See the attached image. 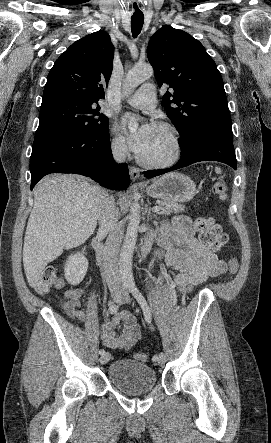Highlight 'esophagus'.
I'll return each mask as SVG.
<instances>
[{"label":"esophagus","mask_w":271,"mask_h":443,"mask_svg":"<svg viewBox=\"0 0 271 443\" xmlns=\"http://www.w3.org/2000/svg\"><path fill=\"white\" fill-rule=\"evenodd\" d=\"M130 177L132 181H137L140 177V170L136 167H129Z\"/></svg>","instance_id":"34e87169"}]
</instances>
